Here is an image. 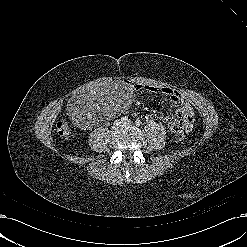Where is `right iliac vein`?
I'll return each mask as SVG.
<instances>
[{
  "label": "right iliac vein",
  "instance_id": "right-iliac-vein-1",
  "mask_svg": "<svg viewBox=\"0 0 247 247\" xmlns=\"http://www.w3.org/2000/svg\"><path fill=\"white\" fill-rule=\"evenodd\" d=\"M114 126H115V128L120 127V126H121V121H117V122H115Z\"/></svg>",
  "mask_w": 247,
  "mask_h": 247
}]
</instances>
